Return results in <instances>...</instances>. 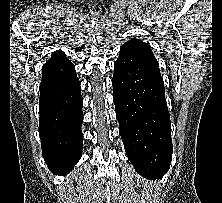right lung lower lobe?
I'll return each instance as SVG.
<instances>
[{
  "mask_svg": "<svg viewBox=\"0 0 222 203\" xmlns=\"http://www.w3.org/2000/svg\"><path fill=\"white\" fill-rule=\"evenodd\" d=\"M39 90L42 154L54 174L65 175L81 158L83 138V102L72 62L48 60L42 67Z\"/></svg>",
  "mask_w": 222,
  "mask_h": 203,
  "instance_id": "right-lung-lower-lobe-1",
  "label": "right lung lower lobe"
}]
</instances>
